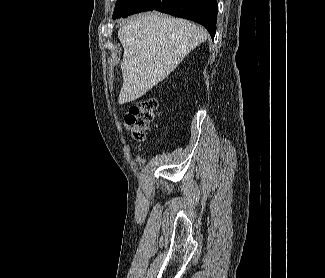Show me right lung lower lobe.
Returning <instances> with one entry per match:
<instances>
[{
    "label": "right lung lower lobe",
    "instance_id": "1",
    "mask_svg": "<svg viewBox=\"0 0 325 278\" xmlns=\"http://www.w3.org/2000/svg\"><path fill=\"white\" fill-rule=\"evenodd\" d=\"M150 10L195 21L203 25L214 39L218 13L216 0H135L129 15Z\"/></svg>",
    "mask_w": 325,
    "mask_h": 278
}]
</instances>
